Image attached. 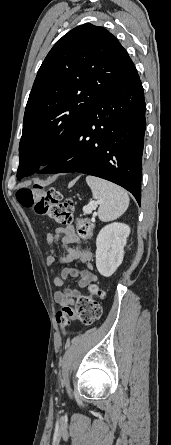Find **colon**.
Wrapping results in <instances>:
<instances>
[{"label":"colon","instance_id":"obj_1","mask_svg":"<svg viewBox=\"0 0 171 445\" xmlns=\"http://www.w3.org/2000/svg\"><path fill=\"white\" fill-rule=\"evenodd\" d=\"M17 200L20 205L30 208L37 216L50 217L57 223L72 227L77 237L83 241L93 235L92 221L87 217L76 218L72 200L63 198L58 190L22 188L17 192ZM104 297V292L98 286L91 285L90 293L80 296L75 307L63 306L57 312V323L65 327L72 319H77L86 326L93 325L102 316L99 299Z\"/></svg>","mask_w":171,"mask_h":445}]
</instances>
